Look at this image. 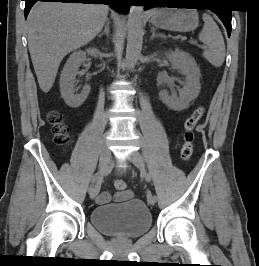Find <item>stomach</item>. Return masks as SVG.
Returning <instances> with one entry per match:
<instances>
[{"label":"stomach","instance_id":"obj_1","mask_svg":"<svg viewBox=\"0 0 259 266\" xmlns=\"http://www.w3.org/2000/svg\"><path fill=\"white\" fill-rule=\"evenodd\" d=\"M151 23L156 27L177 32H189L197 28L199 23L196 10L181 8H160L152 11Z\"/></svg>","mask_w":259,"mask_h":266}]
</instances>
